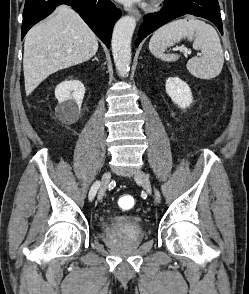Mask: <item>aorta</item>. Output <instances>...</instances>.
<instances>
[{
	"mask_svg": "<svg viewBox=\"0 0 249 294\" xmlns=\"http://www.w3.org/2000/svg\"><path fill=\"white\" fill-rule=\"evenodd\" d=\"M136 27V20L132 16L119 19L112 35V53L116 69L121 76H126L131 64V39Z\"/></svg>",
	"mask_w": 249,
	"mask_h": 294,
	"instance_id": "1",
	"label": "aorta"
}]
</instances>
